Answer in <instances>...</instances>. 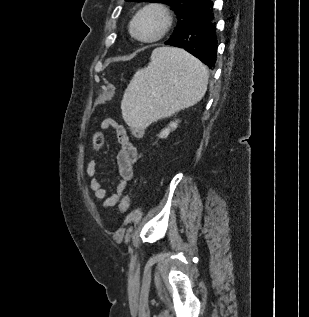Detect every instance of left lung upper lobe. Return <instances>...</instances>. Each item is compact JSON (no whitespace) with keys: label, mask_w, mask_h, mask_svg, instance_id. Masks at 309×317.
I'll use <instances>...</instances> for the list:
<instances>
[{"label":"left lung upper lobe","mask_w":309,"mask_h":317,"mask_svg":"<svg viewBox=\"0 0 309 317\" xmlns=\"http://www.w3.org/2000/svg\"><path fill=\"white\" fill-rule=\"evenodd\" d=\"M126 1H151V2H160L172 6V9L177 15V27L173 33L176 34L180 32L186 25L195 10L203 6L209 0H126Z\"/></svg>","instance_id":"1"}]
</instances>
